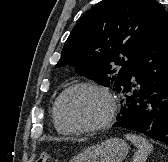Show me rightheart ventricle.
Listing matches in <instances>:
<instances>
[{
    "instance_id": "e07e8e85",
    "label": "right heart ventricle",
    "mask_w": 168,
    "mask_h": 162,
    "mask_svg": "<svg viewBox=\"0 0 168 162\" xmlns=\"http://www.w3.org/2000/svg\"><path fill=\"white\" fill-rule=\"evenodd\" d=\"M52 118H53V123H54V126L56 128V130L60 133V134H63V135H68L70 134V131L65 129L63 126L60 125V123L57 121L56 117H55V113H54V107H53V110H52Z\"/></svg>"
}]
</instances>
